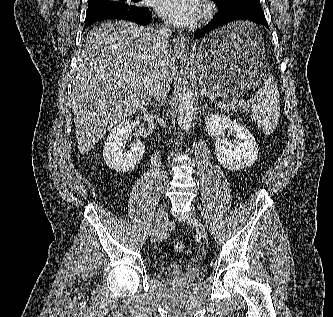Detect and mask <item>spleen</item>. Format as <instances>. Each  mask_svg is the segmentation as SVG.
I'll list each match as a JSON object with an SVG mask.
<instances>
[{"label":"spleen","instance_id":"spleen-1","mask_svg":"<svg viewBox=\"0 0 333 317\" xmlns=\"http://www.w3.org/2000/svg\"><path fill=\"white\" fill-rule=\"evenodd\" d=\"M256 105L252 106L251 118L270 135L276 128L280 116V96L275 78L269 75L254 96Z\"/></svg>","mask_w":333,"mask_h":317}]
</instances>
